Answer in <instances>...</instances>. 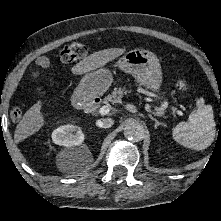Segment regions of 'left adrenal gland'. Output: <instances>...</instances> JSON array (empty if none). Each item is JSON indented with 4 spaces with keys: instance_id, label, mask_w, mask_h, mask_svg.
<instances>
[{
    "instance_id": "1",
    "label": "left adrenal gland",
    "mask_w": 221,
    "mask_h": 221,
    "mask_svg": "<svg viewBox=\"0 0 221 221\" xmlns=\"http://www.w3.org/2000/svg\"><path fill=\"white\" fill-rule=\"evenodd\" d=\"M150 117L151 120L155 121V129L158 128V126H164L163 123L159 122L156 118H154L151 114L148 115Z\"/></svg>"
}]
</instances>
